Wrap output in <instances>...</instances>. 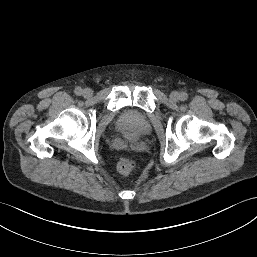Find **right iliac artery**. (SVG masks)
<instances>
[{
	"instance_id": "82829eb1",
	"label": "right iliac artery",
	"mask_w": 257,
	"mask_h": 257,
	"mask_svg": "<svg viewBox=\"0 0 257 257\" xmlns=\"http://www.w3.org/2000/svg\"><path fill=\"white\" fill-rule=\"evenodd\" d=\"M74 92H75L76 95H81L82 94V89L78 87V88L75 89Z\"/></svg>"
}]
</instances>
